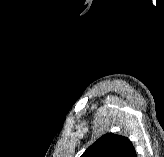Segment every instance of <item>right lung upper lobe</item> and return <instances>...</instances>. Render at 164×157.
Masks as SVG:
<instances>
[{"label":"right lung upper lobe","instance_id":"obj_1","mask_svg":"<svg viewBox=\"0 0 164 157\" xmlns=\"http://www.w3.org/2000/svg\"><path fill=\"white\" fill-rule=\"evenodd\" d=\"M134 153L128 138L108 133L96 140L81 157H133Z\"/></svg>","mask_w":164,"mask_h":157}]
</instances>
